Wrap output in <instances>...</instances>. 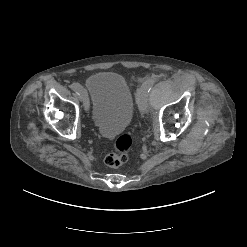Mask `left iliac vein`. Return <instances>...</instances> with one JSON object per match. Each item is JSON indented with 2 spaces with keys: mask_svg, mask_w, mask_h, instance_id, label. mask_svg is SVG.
<instances>
[{
  "mask_svg": "<svg viewBox=\"0 0 247 247\" xmlns=\"http://www.w3.org/2000/svg\"><path fill=\"white\" fill-rule=\"evenodd\" d=\"M147 95V91L144 88H141L137 95L139 109L144 114H147L149 112L147 105Z\"/></svg>",
  "mask_w": 247,
  "mask_h": 247,
  "instance_id": "left-iliac-vein-1",
  "label": "left iliac vein"
}]
</instances>
